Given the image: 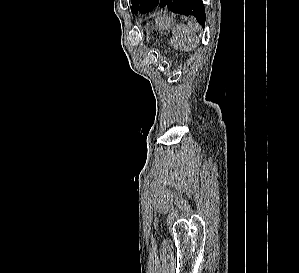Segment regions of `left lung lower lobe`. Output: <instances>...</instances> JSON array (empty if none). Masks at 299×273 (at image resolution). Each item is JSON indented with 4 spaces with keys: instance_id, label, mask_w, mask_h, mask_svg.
Instances as JSON below:
<instances>
[{
    "instance_id": "0a47b994",
    "label": "left lung lower lobe",
    "mask_w": 299,
    "mask_h": 273,
    "mask_svg": "<svg viewBox=\"0 0 299 273\" xmlns=\"http://www.w3.org/2000/svg\"><path fill=\"white\" fill-rule=\"evenodd\" d=\"M158 7H168L171 11L185 16H195L198 23L205 25L206 15L202 0H146L140 13H148Z\"/></svg>"
}]
</instances>
